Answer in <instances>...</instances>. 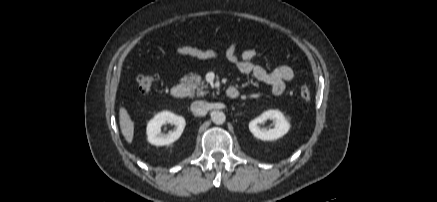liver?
Masks as SVG:
<instances>
[{
	"label": "liver",
	"mask_w": 437,
	"mask_h": 202,
	"mask_svg": "<svg viewBox=\"0 0 437 202\" xmlns=\"http://www.w3.org/2000/svg\"><path fill=\"white\" fill-rule=\"evenodd\" d=\"M119 123L121 132L128 143H132L134 136V122L124 107L119 109Z\"/></svg>",
	"instance_id": "6515ba94"
}]
</instances>
